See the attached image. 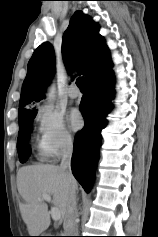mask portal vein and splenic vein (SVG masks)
<instances>
[{"mask_svg": "<svg viewBox=\"0 0 158 237\" xmlns=\"http://www.w3.org/2000/svg\"><path fill=\"white\" fill-rule=\"evenodd\" d=\"M41 199L47 201V202H51V196L50 195H47V194H44L42 195L41 198H38V201H40ZM51 216H52V219L55 220V221H58L60 220L61 218V214H60V211L55 208V207H52L51 208Z\"/></svg>", "mask_w": 158, "mask_h": 237, "instance_id": "1", "label": "portal vein and splenic vein"}]
</instances>
